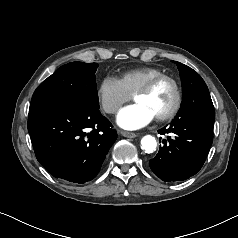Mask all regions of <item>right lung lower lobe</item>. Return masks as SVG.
<instances>
[{"mask_svg": "<svg viewBox=\"0 0 238 238\" xmlns=\"http://www.w3.org/2000/svg\"><path fill=\"white\" fill-rule=\"evenodd\" d=\"M28 131L40 164L55 178L85 183L117 138L99 109L66 100L31 101Z\"/></svg>", "mask_w": 238, "mask_h": 238, "instance_id": "1", "label": "right lung lower lobe"}]
</instances>
